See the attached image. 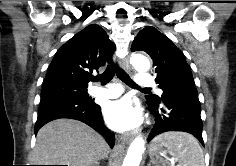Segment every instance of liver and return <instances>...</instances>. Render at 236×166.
<instances>
[{
  "label": "liver",
  "mask_w": 236,
  "mask_h": 166,
  "mask_svg": "<svg viewBox=\"0 0 236 166\" xmlns=\"http://www.w3.org/2000/svg\"><path fill=\"white\" fill-rule=\"evenodd\" d=\"M109 146L101 135L73 119H57L37 134L33 165L93 166L107 157Z\"/></svg>",
  "instance_id": "obj_1"
}]
</instances>
